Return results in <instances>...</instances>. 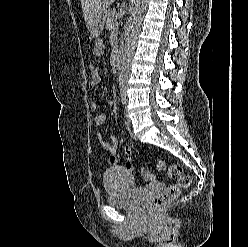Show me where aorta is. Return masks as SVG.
Segmentation results:
<instances>
[{
	"label": "aorta",
	"mask_w": 248,
	"mask_h": 247,
	"mask_svg": "<svg viewBox=\"0 0 248 247\" xmlns=\"http://www.w3.org/2000/svg\"><path fill=\"white\" fill-rule=\"evenodd\" d=\"M148 0H132L131 19L128 33L125 38L124 52L119 67V85L124 87L128 82L130 63L136 47V41L139 35L143 20V14Z\"/></svg>",
	"instance_id": "aorta-1"
}]
</instances>
